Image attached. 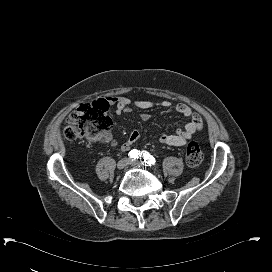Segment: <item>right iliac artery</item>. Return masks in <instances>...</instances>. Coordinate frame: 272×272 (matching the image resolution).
<instances>
[{
    "label": "right iliac artery",
    "mask_w": 272,
    "mask_h": 272,
    "mask_svg": "<svg viewBox=\"0 0 272 272\" xmlns=\"http://www.w3.org/2000/svg\"><path fill=\"white\" fill-rule=\"evenodd\" d=\"M140 155V151H138L137 149H133V150H131L130 152H129V156H130V158H132V159H136V158H138V156Z\"/></svg>",
    "instance_id": "right-iliac-artery-1"
}]
</instances>
